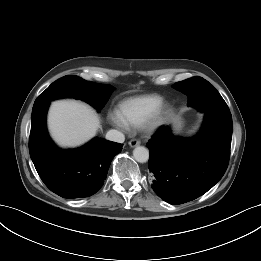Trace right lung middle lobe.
Here are the masks:
<instances>
[{"instance_id":"1","label":"right lung middle lobe","mask_w":261,"mask_h":261,"mask_svg":"<svg viewBox=\"0 0 261 261\" xmlns=\"http://www.w3.org/2000/svg\"><path fill=\"white\" fill-rule=\"evenodd\" d=\"M114 87L86 81L78 76H64L53 82L36 99L33 110L54 99L72 97L81 99L100 111L107 102Z\"/></svg>"}]
</instances>
